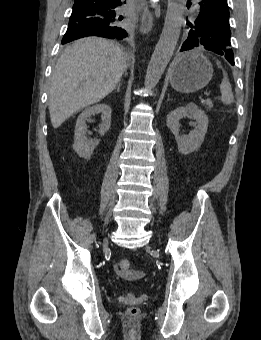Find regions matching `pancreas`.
Wrapping results in <instances>:
<instances>
[{"instance_id": "1", "label": "pancreas", "mask_w": 261, "mask_h": 340, "mask_svg": "<svg viewBox=\"0 0 261 340\" xmlns=\"http://www.w3.org/2000/svg\"><path fill=\"white\" fill-rule=\"evenodd\" d=\"M203 103L207 106L208 109H211L213 107V103L210 99L205 100Z\"/></svg>"}]
</instances>
